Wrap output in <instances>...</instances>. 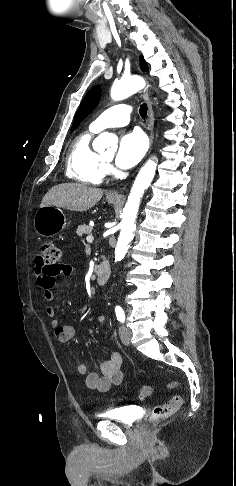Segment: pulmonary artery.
<instances>
[{"mask_svg": "<svg viewBox=\"0 0 236 486\" xmlns=\"http://www.w3.org/2000/svg\"><path fill=\"white\" fill-rule=\"evenodd\" d=\"M131 107L126 104L114 105L103 111L91 124L90 129L99 132L110 127H122L130 122Z\"/></svg>", "mask_w": 236, "mask_h": 486, "instance_id": "e3ab8cb5", "label": "pulmonary artery"}]
</instances>
